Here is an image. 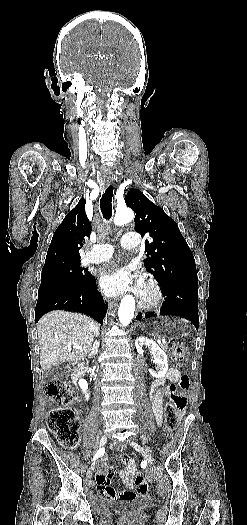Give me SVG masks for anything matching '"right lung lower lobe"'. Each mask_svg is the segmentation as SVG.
<instances>
[{
  "instance_id": "1",
  "label": "right lung lower lobe",
  "mask_w": 247,
  "mask_h": 525,
  "mask_svg": "<svg viewBox=\"0 0 247 525\" xmlns=\"http://www.w3.org/2000/svg\"><path fill=\"white\" fill-rule=\"evenodd\" d=\"M103 308V298L97 291L95 278L91 277L85 285L79 288L54 290L39 295L35 321L38 322L40 317L48 311L67 310L90 315L102 323Z\"/></svg>"
}]
</instances>
